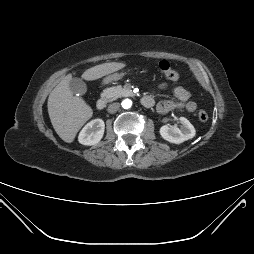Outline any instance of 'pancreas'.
I'll list each match as a JSON object with an SVG mask.
<instances>
[{"instance_id":"pancreas-1","label":"pancreas","mask_w":254,"mask_h":254,"mask_svg":"<svg viewBox=\"0 0 254 254\" xmlns=\"http://www.w3.org/2000/svg\"><path fill=\"white\" fill-rule=\"evenodd\" d=\"M133 94L126 88L115 86L103 90L101 97L105 98L108 102L114 101L122 96H132Z\"/></svg>"}]
</instances>
